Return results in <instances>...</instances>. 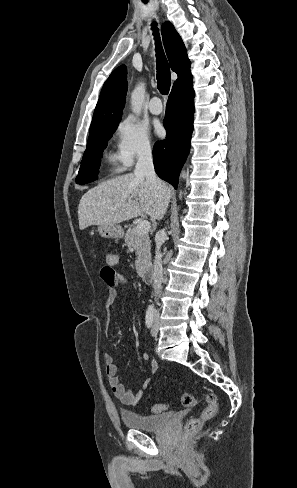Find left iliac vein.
<instances>
[{
	"label": "left iliac vein",
	"instance_id": "4c4485c4",
	"mask_svg": "<svg viewBox=\"0 0 297 488\" xmlns=\"http://www.w3.org/2000/svg\"><path fill=\"white\" fill-rule=\"evenodd\" d=\"M158 328H159V321L157 318H155L153 325H152V328H151V335L152 336H157Z\"/></svg>",
	"mask_w": 297,
	"mask_h": 488
}]
</instances>
